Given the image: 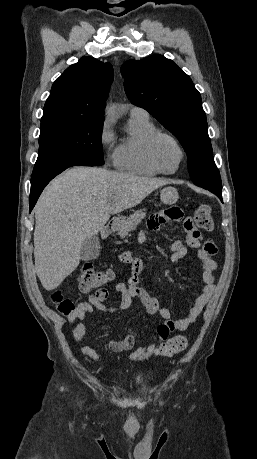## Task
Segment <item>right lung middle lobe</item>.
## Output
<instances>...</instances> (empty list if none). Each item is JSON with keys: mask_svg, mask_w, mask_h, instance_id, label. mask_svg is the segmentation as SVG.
<instances>
[{"mask_svg": "<svg viewBox=\"0 0 257 459\" xmlns=\"http://www.w3.org/2000/svg\"><path fill=\"white\" fill-rule=\"evenodd\" d=\"M35 167L69 160L103 165V121L66 114H43Z\"/></svg>", "mask_w": 257, "mask_h": 459, "instance_id": "dd1d6c3e", "label": "right lung middle lobe"}]
</instances>
